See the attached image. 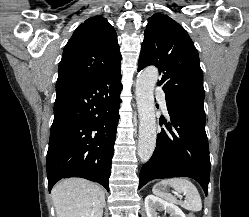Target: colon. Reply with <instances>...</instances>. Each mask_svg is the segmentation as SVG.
Listing matches in <instances>:
<instances>
[{
	"instance_id": "obj_1",
	"label": "colon",
	"mask_w": 249,
	"mask_h": 217,
	"mask_svg": "<svg viewBox=\"0 0 249 217\" xmlns=\"http://www.w3.org/2000/svg\"><path fill=\"white\" fill-rule=\"evenodd\" d=\"M188 217H195V215L193 213H190Z\"/></svg>"
}]
</instances>
